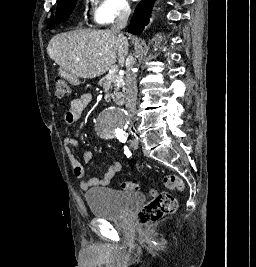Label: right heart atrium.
Returning a JSON list of instances; mask_svg holds the SVG:
<instances>
[{
    "label": "right heart atrium",
    "mask_w": 256,
    "mask_h": 267,
    "mask_svg": "<svg viewBox=\"0 0 256 267\" xmlns=\"http://www.w3.org/2000/svg\"><path fill=\"white\" fill-rule=\"evenodd\" d=\"M121 15L122 14H117L114 17H108L102 15L100 12H96L94 13L93 20L98 27L105 28L112 25L116 21V19Z\"/></svg>",
    "instance_id": "d8ad5b80"
}]
</instances>
